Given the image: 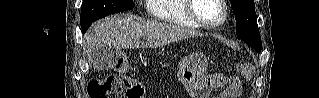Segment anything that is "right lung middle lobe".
Returning a JSON list of instances; mask_svg holds the SVG:
<instances>
[{"label":"right lung middle lobe","instance_id":"right-lung-middle-lobe-1","mask_svg":"<svg viewBox=\"0 0 319 98\" xmlns=\"http://www.w3.org/2000/svg\"><path fill=\"white\" fill-rule=\"evenodd\" d=\"M132 0H83L81 27L107 15L134 8Z\"/></svg>","mask_w":319,"mask_h":98}]
</instances>
